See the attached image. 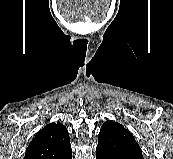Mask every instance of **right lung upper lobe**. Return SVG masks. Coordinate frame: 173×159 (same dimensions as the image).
<instances>
[{
    "label": "right lung upper lobe",
    "mask_w": 173,
    "mask_h": 159,
    "mask_svg": "<svg viewBox=\"0 0 173 159\" xmlns=\"http://www.w3.org/2000/svg\"><path fill=\"white\" fill-rule=\"evenodd\" d=\"M71 151L69 133L60 122L40 130L29 144L24 159H60Z\"/></svg>",
    "instance_id": "right-lung-upper-lobe-1"
}]
</instances>
